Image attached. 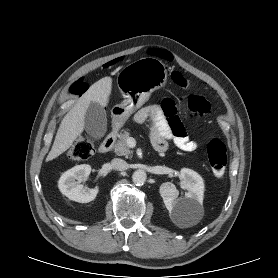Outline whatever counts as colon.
Returning <instances> with one entry per match:
<instances>
[{"label":"colon","instance_id":"5ec220e1","mask_svg":"<svg viewBox=\"0 0 278 278\" xmlns=\"http://www.w3.org/2000/svg\"><path fill=\"white\" fill-rule=\"evenodd\" d=\"M173 82L185 89H190L189 80L179 71L172 73ZM88 88V84L80 79L75 81L70 92L74 95H82ZM187 105L190 112L195 116H203L210 112L211 104L204 97L190 94L187 98ZM94 152L93 142L89 139L82 138L74 143L68 151V157L72 160H86ZM208 160L213 174L220 178L224 175L227 165V151L224 143L219 139H212L207 145Z\"/></svg>","mask_w":278,"mask_h":278}]
</instances>
